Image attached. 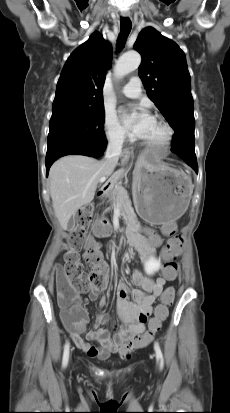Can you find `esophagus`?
Returning a JSON list of instances; mask_svg holds the SVG:
<instances>
[{
  "label": "esophagus",
  "instance_id": "esophagus-1",
  "mask_svg": "<svg viewBox=\"0 0 230 413\" xmlns=\"http://www.w3.org/2000/svg\"><path fill=\"white\" fill-rule=\"evenodd\" d=\"M122 16H123V17H130V12H123V13H122Z\"/></svg>",
  "mask_w": 230,
  "mask_h": 413
}]
</instances>
